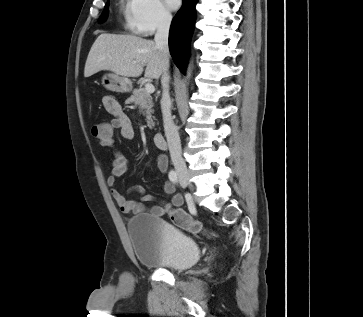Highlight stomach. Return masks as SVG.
Segmentation results:
<instances>
[{
    "label": "stomach",
    "instance_id": "0dacf381",
    "mask_svg": "<svg viewBox=\"0 0 363 317\" xmlns=\"http://www.w3.org/2000/svg\"><path fill=\"white\" fill-rule=\"evenodd\" d=\"M102 84L106 89L115 92H130L132 89V83L129 79L115 73H106L102 77Z\"/></svg>",
    "mask_w": 363,
    "mask_h": 317
}]
</instances>
